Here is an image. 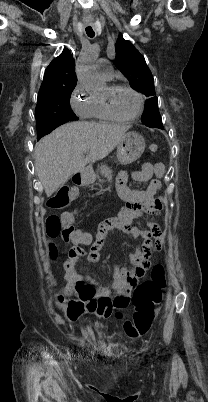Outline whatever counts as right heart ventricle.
<instances>
[{"label": "right heart ventricle", "instance_id": "e07e8e85", "mask_svg": "<svg viewBox=\"0 0 208 402\" xmlns=\"http://www.w3.org/2000/svg\"><path fill=\"white\" fill-rule=\"evenodd\" d=\"M93 98V110L90 118L92 124L96 126H108L119 122L109 114L102 100L101 94H93Z\"/></svg>", "mask_w": 208, "mask_h": 402}]
</instances>
